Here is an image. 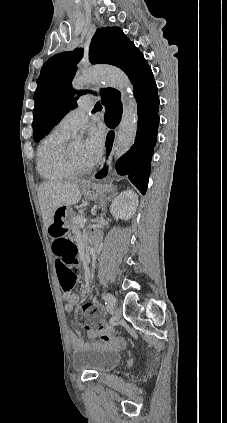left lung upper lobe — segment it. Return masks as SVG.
<instances>
[{"label": "left lung upper lobe", "instance_id": "obj_1", "mask_svg": "<svg viewBox=\"0 0 227 423\" xmlns=\"http://www.w3.org/2000/svg\"><path fill=\"white\" fill-rule=\"evenodd\" d=\"M82 55L81 49L63 52L54 55L43 65L34 95L33 131L36 142L77 106L79 96L87 93L71 88L76 64ZM89 59L93 64L106 63L119 67L128 75L134 89L152 72L140 50L118 27L97 29L91 41ZM100 94L106 110L113 106L122 107L118 90L105 88Z\"/></svg>", "mask_w": 227, "mask_h": 423}]
</instances>
